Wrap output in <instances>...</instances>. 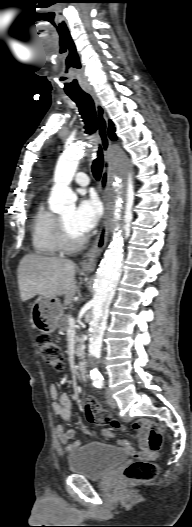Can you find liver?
Returning <instances> with one entry per match:
<instances>
[{
    "mask_svg": "<svg viewBox=\"0 0 192 527\" xmlns=\"http://www.w3.org/2000/svg\"><path fill=\"white\" fill-rule=\"evenodd\" d=\"M75 263L57 257L39 254L25 255L18 266V285L22 301L36 295L43 297L64 296V305H69L77 291Z\"/></svg>",
    "mask_w": 192,
    "mask_h": 527,
    "instance_id": "obj_1",
    "label": "liver"
}]
</instances>
